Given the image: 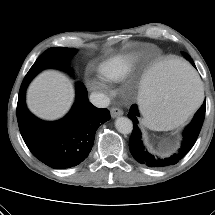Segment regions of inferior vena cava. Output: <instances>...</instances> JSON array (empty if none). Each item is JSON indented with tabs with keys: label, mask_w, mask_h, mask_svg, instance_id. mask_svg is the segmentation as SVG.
<instances>
[{
	"label": "inferior vena cava",
	"mask_w": 215,
	"mask_h": 215,
	"mask_svg": "<svg viewBox=\"0 0 215 215\" xmlns=\"http://www.w3.org/2000/svg\"><path fill=\"white\" fill-rule=\"evenodd\" d=\"M90 102L99 108H106L110 104V99L103 93H91L89 97Z\"/></svg>",
	"instance_id": "inferior-vena-cava-1"
}]
</instances>
